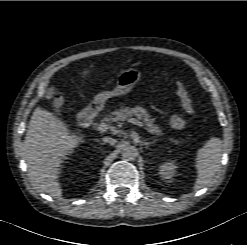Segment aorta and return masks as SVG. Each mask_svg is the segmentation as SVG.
Instances as JSON below:
<instances>
[{"label":"aorta","mask_w":247,"mask_h":245,"mask_svg":"<svg viewBox=\"0 0 247 245\" xmlns=\"http://www.w3.org/2000/svg\"><path fill=\"white\" fill-rule=\"evenodd\" d=\"M138 156V150L135 146L125 145L122 149V157L127 161H134Z\"/></svg>","instance_id":"1"}]
</instances>
